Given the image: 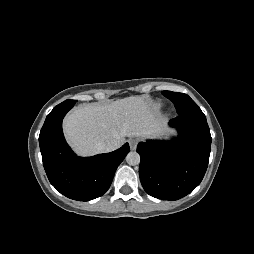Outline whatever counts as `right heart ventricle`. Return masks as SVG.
Returning a JSON list of instances; mask_svg holds the SVG:
<instances>
[{
  "label": "right heart ventricle",
  "mask_w": 254,
  "mask_h": 254,
  "mask_svg": "<svg viewBox=\"0 0 254 254\" xmlns=\"http://www.w3.org/2000/svg\"><path fill=\"white\" fill-rule=\"evenodd\" d=\"M161 106H162V105H161L160 103H158V104L155 105V109H160Z\"/></svg>",
  "instance_id": "obj_1"
}]
</instances>
